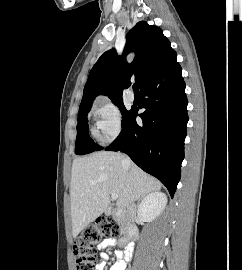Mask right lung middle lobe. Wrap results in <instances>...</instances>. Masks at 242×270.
<instances>
[{
  "label": "right lung middle lobe",
  "mask_w": 242,
  "mask_h": 270,
  "mask_svg": "<svg viewBox=\"0 0 242 270\" xmlns=\"http://www.w3.org/2000/svg\"><path fill=\"white\" fill-rule=\"evenodd\" d=\"M116 104L122 113V125L125 123L131 110L128 111L123 105L122 100L113 101ZM91 107L79 110L78 113V124H77V137H76V149L75 153L78 155L88 154L97 150H100L101 147L94 144V142L89 138L88 135V119L87 113Z\"/></svg>",
  "instance_id": "obj_1"
}]
</instances>
